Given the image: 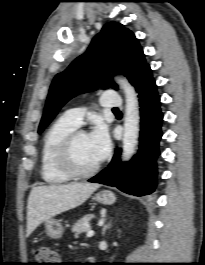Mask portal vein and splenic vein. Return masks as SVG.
<instances>
[{"instance_id": "obj_1", "label": "portal vein and splenic vein", "mask_w": 205, "mask_h": 265, "mask_svg": "<svg viewBox=\"0 0 205 265\" xmlns=\"http://www.w3.org/2000/svg\"><path fill=\"white\" fill-rule=\"evenodd\" d=\"M94 235V231L93 230H88L86 233L87 237H92Z\"/></svg>"}]
</instances>
